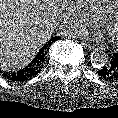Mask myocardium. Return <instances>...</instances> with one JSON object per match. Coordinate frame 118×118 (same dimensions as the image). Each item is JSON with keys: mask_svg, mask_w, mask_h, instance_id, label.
<instances>
[{"mask_svg": "<svg viewBox=\"0 0 118 118\" xmlns=\"http://www.w3.org/2000/svg\"><path fill=\"white\" fill-rule=\"evenodd\" d=\"M116 4H118V0H112L110 5L104 11L100 18H95V22L98 26L108 28L115 17L116 14ZM110 42L116 46H118V38L111 37Z\"/></svg>", "mask_w": 118, "mask_h": 118, "instance_id": "1", "label": "myocardium"}]
</instances>
